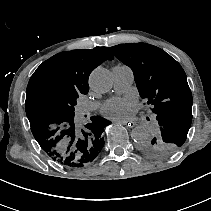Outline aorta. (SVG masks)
Returning <instances> with one entry per match:
<instances>
[{
  "instance_id": "aorta-1",
  "label": "aorta",
  "mask_w": 211,
  "mask_h": 211,
  "mask_svg": "<svg viewBox=\"0 0 211 211\" xmlns=\"http://www.w3.org/2000/svg\"><path fill=\"white\" fill-rule=\"evenodd\" d=\"M89 85L95 92H108L113 86L111 73L103 67L94 69L89 77ZM149 136V131L144 126H136L131 131V137L137 143H141L149 139Z\"/></svg>"
}]
</instances>
